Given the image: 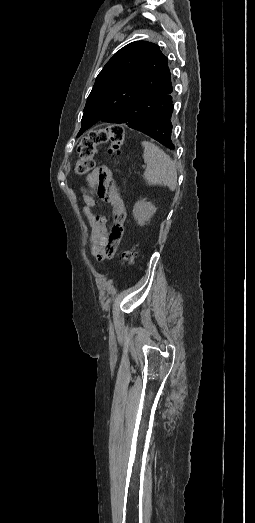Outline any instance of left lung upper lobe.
<instances>
[{
    "label": "left lung upper lobe",
    "mask_w": 255,
    "mask_h": 523,
    "mask_svg": "<svg viewBox=\"0 0 255 523\" xmlns=\"http://www.w3.org/2000/svg\"><path fill=\"white\" fill-rule=\"evenodd\" d=\"M172 91L168 59L159 46L132 42L114 54L97 76L78 136L100 120L125 123L132 129L158 121L173 106Z\"/></svg>",
    "instance_id": "1"
}]
</instances>
